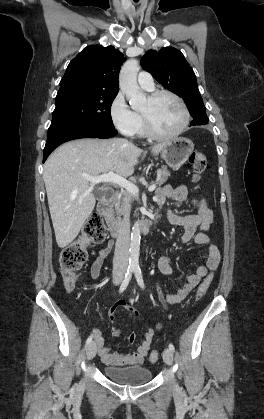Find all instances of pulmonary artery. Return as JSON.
<instances>
[{"mask_svg": "<svg viewBox=\"0 0 264 419\" xmlns=\"http://www.w3.org/2000/svg\"><path fill=\"white\" fill-rule=\"evenodd\" d=\"M138 84L145 90H152L154 88V81L150 73L142 71L137 77Z\"/></svg>", "mask_w": 264, "mask_h": 419, "instance_id": "pulmonary-artery-1", "label": "pulmonary artery"}]
</instances>
